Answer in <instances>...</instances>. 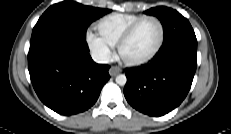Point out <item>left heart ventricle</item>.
<instances>
[{
    "label": "left heart ventricle",
    "mask_w": 231,
    "mask_h": 134,
    "mask_svg": "<svg viewBox=\"0 0 231 134\" xmlns=\"http://www.w3.org/2000/svg\"><path fill=\"white\" fill-rule=\"evenodd\" d=\"M160 29L156 22H143L132 38L122 49V56L127 60H137L148 56L157 46Z\"/></svg>",
    "instance_id": "obj_1"
}]
</instances>
